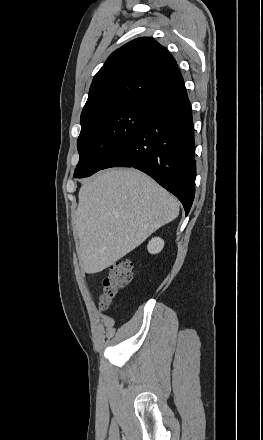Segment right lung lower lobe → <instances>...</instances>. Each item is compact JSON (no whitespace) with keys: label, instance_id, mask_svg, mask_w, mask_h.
<instances>
[{"label":"right lung lower lobe","instance_id":"98d812e1","mask_svg":"<svg viewBox=\"0 0 263 440\" xmlns=\"http://www.w3.org/2000/svg\"><path fill=\"white\" fill-rule=\"evenodd\" d=\"M139 169L174 194L186 215L195 196V142L191 104L185 85L151 104L134 135L112 153L102 169Z\"/></svg>","mask_w":263,"mask_h":440}]
</instances>
